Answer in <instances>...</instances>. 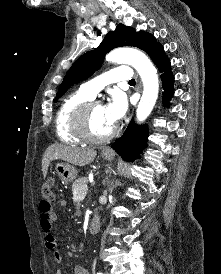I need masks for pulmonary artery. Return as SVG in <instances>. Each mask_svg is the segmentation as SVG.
<instances>
[{"mask_svg": "<svg viewBox=\"0 0 221 274\" xmlns=\"http://www.w3.org/2000/svg\"><path fill=\"white\" fill-rule=\"evenodd\" d=\"M133 78V72L129 67L121 66L82 84L81 90L91 97H95L106 85L121 81H129Z\"/></svg>", "mask_w": 221, "mask_h": 274, "instance_id": "1", "label": "pulmonary artery"}]
</instances>
